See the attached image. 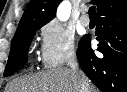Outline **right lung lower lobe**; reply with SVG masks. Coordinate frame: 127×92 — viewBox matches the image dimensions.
Segmentation results:
<instances>
[{"label":"right lung lower lobe","mask_w":127,"mask_h":92,"mask_svg":"<svg viewBox=\"0 0 127 92\" xmlns=\"http://www.w3.org/2000/svg\"><path fill=\"white\" fill-rule=\"evenodd\" d=\"M95 54L85 35L77 50L82 70L103 92H127V6L98 14Z\"/></svg>","instance_id":"98d812e1"}]
</instances>
